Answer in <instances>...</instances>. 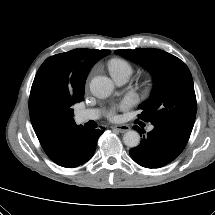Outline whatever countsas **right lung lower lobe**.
Listing matches in <instances>:
<instances>
[{"label": "right lung lower lobe", "instance_id": "right-lung-lower-lobe-1", "mask_svg": "<svg viewBox=\"0 0 215 215\" xmlns=\"http://www.w3.org/2000/svg\"><path fill=\"white\" fill-rule=\"evenodd\" d=\"M102 129L91 130L84 126L76 128L66 139L59 154L51 160L66 168H74L89 161L103 133Z\"/></svg>", "mask_w": 215, "mask_h": 215}]
</instances>
